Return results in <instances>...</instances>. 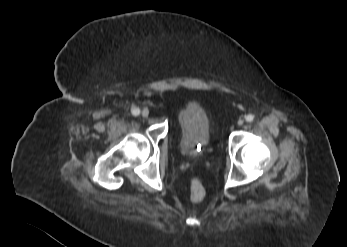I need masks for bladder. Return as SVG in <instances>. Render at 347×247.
<instances>
[{
	"label": "bladder",
	"mask_w": 347,
	"mask_h": 247,
	"mask_svg": "<svg viewBox=\"0 0 347 247\" xmlns=\"http://www.w3.org/2000/svg\"><path fill=\"white\" fill-rule=\"evenodd\" d=\"M180 125L179 146L188 158H196L200 150L210 144L211 129L203 109L196 102H189L178 114Z\"/></svg>",
	"instance_id": "obj_1"
}]
</instances>
